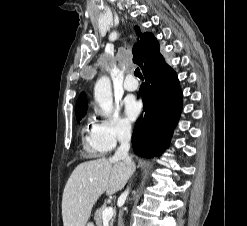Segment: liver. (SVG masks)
I'll use <instances>...</instances> for the list:
<instances>
[{
  "label": "liver",
  "mask_w": 247,
  "mask_h": 226,
  "mask_svg": "<svg viewBox=\"0 0 247 226\" xmlns=\"http://www.w3.org/2000/svg\"><path fill=\"white\" fill-rule=\"evenodd\" d=\"M133 171V164L113 158L79 164L64 188L63 225L85 226L99 197L105 192L113 195L123 189Z\"/></svg>",
  "instance_id": "obj_1"
}]
</instances>
